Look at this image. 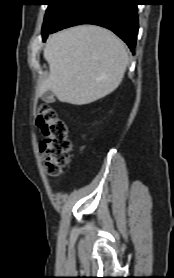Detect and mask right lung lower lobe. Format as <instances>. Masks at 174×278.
Returning <instances> with one entry per match:
<instances>
[{
    "mask_svg": "<svg viewBox=\"0 0 174 278\" xmlns=\"http://www.w3.org/2000/svg\"><path fill=\"white\" fill-rule=\"evenodd\" d=\"M138 0H77L59 22L42 33L45 41L49 33L78 24H95L112 30L134 52L137 33Z\"/></svg>",
    "mask_w": 174,
    "mask_h": 278,
    "instance_id": "1",
    "label": "right lung lower lobe"
}]
</instances>
